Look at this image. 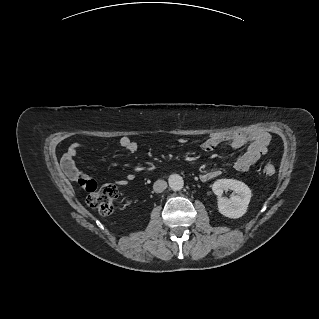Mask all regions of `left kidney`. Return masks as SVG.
<instances>
[{
  "mask_svg": "<svg viewBox=\"0 0 319 319\" xmlns=\"http://www.w3.org/2000/svg\"><path fill=\"white\" fill-rule=\"evenodd\" d=\"M212 190L218 196V210L225 217L240 218L248 208L251 190L243 182L235 179H219L212 185ZM232 190L230 198L222 197L224 191Z\"/></svg>",
  "mask_w": 319,
  "mask_h": 319,
  "instance_id": "5707ae66",
  "label": "left kidney"
}]
</instances>
